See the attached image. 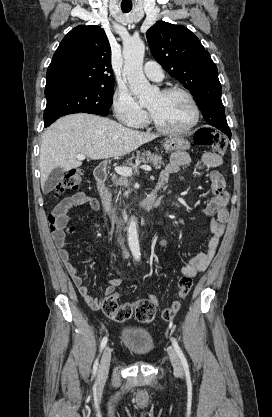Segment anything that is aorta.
Returning <instances> with one entry per match:
<instances>
[{
  "label": "aorta",
  "mask_w": 272,
  "mask_h": 417,
  "mask_svg": "<svg viewBox=\"0 0 272 417\" xmlns=\"http://www.w3.org/2000/svg\"><path fill=\"white\" fill-rule=\"evenodd\" d=\"M144 42L130 39L124 44V73L127 76L132 93L138 97L141 106H147L158 94V88L152 86L143 73ZM128 245L135 260L141 257L137 223L132 218L128 226Z\"/></svg>",
  "instance_id": "1"
}]
</instances>
